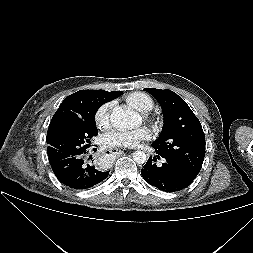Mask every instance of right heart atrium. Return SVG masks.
<instances>
[{
	"instance_id": "d8ad5b80",
	"label": "right heart atrium",
	"mask_w": 253,
	"mask_h": 253,
	"mask_svg": "<svg viewBox=\"0 0 253 253\" xmlns=\"http://www.w3.org/2000/svg\"><path fill=\"white\" fill-rule=\"evenodd\" d=\"M113 103L107 102L101 105L95 113V122L99 128H105L109 125L110 122V112L112 109Z\"/></svg>"
}]
</instances>
